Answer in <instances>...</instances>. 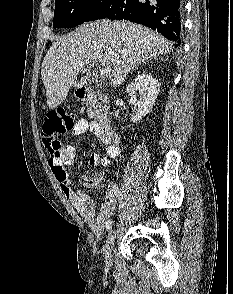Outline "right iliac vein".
I'll return each instance as SVG.
<instances>
[{
    "mask_svg": "<svg viewBox=\"0 0 233 294\" xmlns=\"http://www.w3.org/2000/svg\"><path fill=\"white\" fill-rule=\"evenodd\" d=\"M115 238H116V231H115V229H111V231L109 232V235L107 237L106 244H105V250H104L105 262L108 267L111 266V264H112V248H113V245L115 242Z\"/></svg>",
    "mask_w": 233,
    "mask_h": 294,
    "instance_id": "obj_1",
    "label": "right iliac vein"
}]
</instances>
